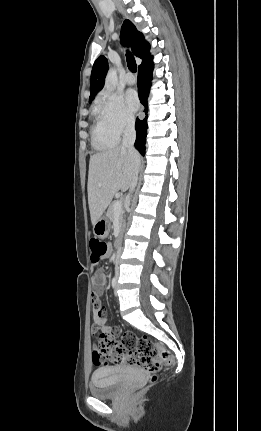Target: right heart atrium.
Listing matches in <instances>:
<instances>
[{
  "instance_id": "right-heart-atrium-1",
  "label": "right heart atrium",
  "mask_w": 261,
  "mask_h": 431,
  "mask_svg": "<svg viewBox=\"0 0 261 431\" xmlns=\"http://www.w3.org/2000/svg\"><path fill=\"white\" fill-rule=\"evenodd\" d=\"M97 107L106 126L116 136L119 137L134 126V118L125 108L119 96L103 91L97 98Z\"/></svg>"
}]
</instances>
